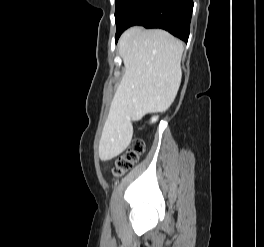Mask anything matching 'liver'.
Listing matches in <instances>:
<instances>
[{"instance_id":"obj_1","label":"liver","mask_w":264,"mask_h":247,"mask_svg":"<svg viewBox=\"0 0 264 247\" xmlns=\"http://www.w3.org/2000/svg\"><path fill=\"white\" fill-rule=\"evenodd\" d=\"M118 47L125 71L99 142L103 161L118 156L129 146L131 121L171 106L182 78L183 43L166 31L131 27L120 37Z\"/></svg>"}]
</instances>
